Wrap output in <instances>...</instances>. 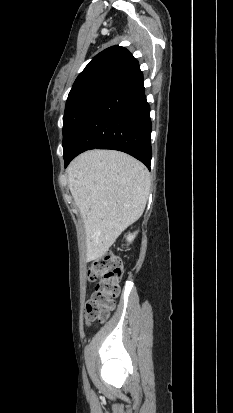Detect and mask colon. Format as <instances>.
<instances>
[{
	"instance_id": "1",
	"label": "colon",
	"mask_w": 233,
	"mask_h": 413,
	"mask_svg": "<svg viewBox=\"0 0 233 413\" xmlns=\"http://www.w3.org/2000/svg\"><path fill=\"white\" fill-rule=\"evenodd\" d=\"M121 276L122 262L111 253L91 263L88 278L92 282H98L86 304L85 319L88 324L96 321L104 322L108 318L110 310L114 307V299L119 293Z\"/></svg>"
}]
</instances>
